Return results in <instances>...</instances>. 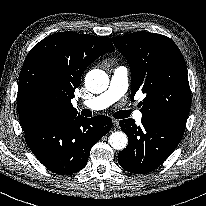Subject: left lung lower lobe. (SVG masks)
<instances>
[{"label":"left lung lower lobe","instance_id":"0a47b994","mask_svg":"<svg viewBox=\"0 0 206 206\" xmlns=\"http://www.w3.org/2000/svg\"><path fill=\"white\" fill-rule=\"evenodd\" d=\"M141 123L137 126L131 118L119 122L129 142L119 152L118 161L123 169L136 174L158 168L175 150L185 131L184 127L156 120L142 118Z\"/></svg>","mask_w":206,"mask_h":206}]
</instances>
